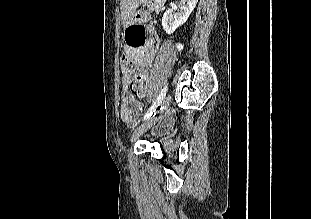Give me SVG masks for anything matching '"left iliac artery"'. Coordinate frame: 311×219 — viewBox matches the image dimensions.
I'll return each instance as SVG.
<instances>
[{
  "mask_svg": "<svg viewBox=\"0 0 311 219\" xmlns=\"http://www.w3.org/2000/svg\"><path fill=\"white\" fill-rule=\"evenodd\" d=\"M168 87L165 86L162 90L161 93L159 94V96L157 97L156 101L154 102V104L149 108V110L147 111V113L144 115L143 120L148 119L149 117L152 116V114L156 111L157 107L162 103L166 92H167Z\"/></svg>",
  "mask_w": 311,
  "mask_h": 219,
  "instance_id": "left-iliac-artery-1",
  "label": "left iliac artery"
}]
</instances>
